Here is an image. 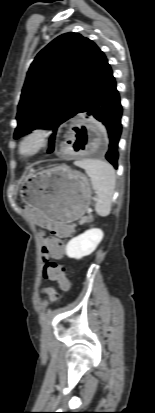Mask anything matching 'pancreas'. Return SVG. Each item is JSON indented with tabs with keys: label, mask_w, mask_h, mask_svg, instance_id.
Listing matches in <instances>:
<instances>
[{
	"label": "pancreas",
	"mask_w": 155,
	"mask_h": 413,
	"mask_svg": "<svg viewBox=\"0 0 155 413\" xmlns=\"http://www.w3.org/2000/svg\"><path fill=\"white\" fill-rule=\"evenodd\" d=\"M88 220H92V216L83 218L80 223H84V222H86V221H88Z\"/></svg>",
	"instance_id": "cf45deb5"
}]
</instances>
